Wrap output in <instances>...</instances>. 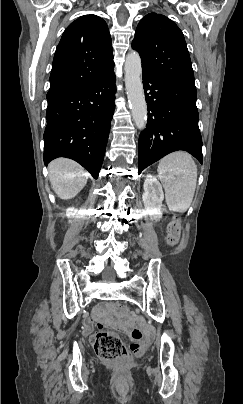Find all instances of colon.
<instances>
[{"mask_svg":"<svg viewBox=\"0 0 243 404\" xmlns=\"http://www.w3.org/2000/svg\"><path fill=\"white\" fill-rule=\"evenodd\" d=\"M180 226L177 221L170 224L167 234V242L174 245L179 239ZM108 308L111 311L125 314L127 312L124 305L120 303H110ZM129 344H125L122 339L113 332L100 331L93 337V344L97 355L107 361H114L127 357L131 352L141 354L150 344L149 338L139 329L134 328L127 333Z\"/></svg>","mask_w":243,"mask_h":404,"instance_id":"colon-1","label":"colon"}]
</instances>
